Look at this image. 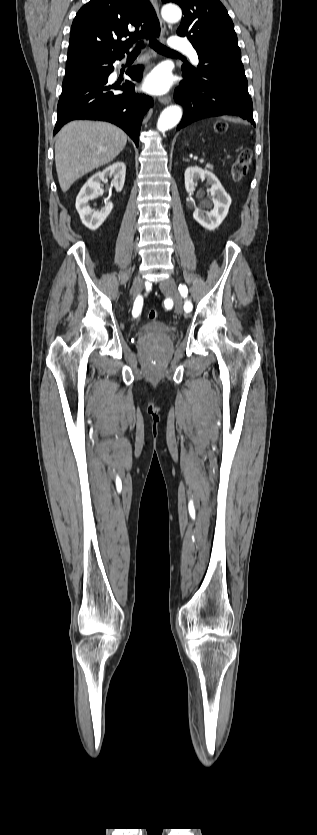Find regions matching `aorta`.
<instances>
[{"mask_svg":"<svg viewBox=\"0 0 317 835\" xmlns=\"http://www.w3.org/2000/svg\"><path fill=\"white\" fill-rule=\"evenodd\" d=\"M163 19L168 23H176L181 19V9L173 4L165 5L161 11ZM182 117V109L179 106H169L165 108L157 122V130L165 132L175 127ZM135 831H138L137 829Z\"/></svg>","mask_w":317,"mask_h":835,"instance_id":"aorta-1","label":"aorta"}]
</instances>
